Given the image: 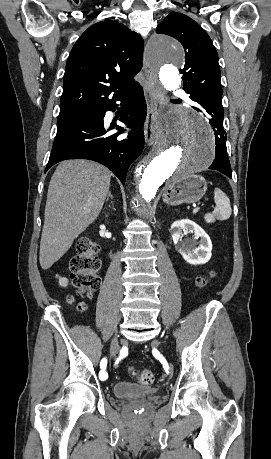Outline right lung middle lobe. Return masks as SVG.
<instances>
[{"label": "right lung middle lobe", "instance_id": "obj_1", "mask_svg": "<svg viewBox=\"0 0 271 459\" xmlns=\"http://www.w3.org/2000/svg\"><path fill=\"white\" fill-rule=\"evenodd\" d=\"M100 109L101 106L99 105H91L73 111H63L60 112L57 123L61 124L81 117L96 116Z\"/></svg>", "mask_w": 271, "mask_h": 459}]
</instances>
